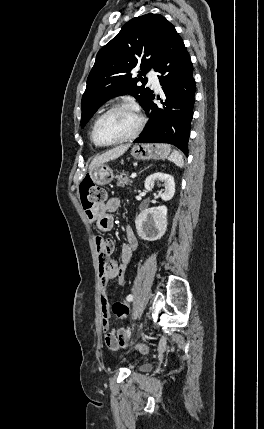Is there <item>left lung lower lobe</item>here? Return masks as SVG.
<instances>
[{"mask_svg": "<svg viewBox=\"0 0 264 429\" xmlns=\"http://www.w3.org/2000/svg\"><path fill=\"white\" fill-rule=\"evenodd\" d=\"M165 94L162 108L152 94L144 110L149 122L134 142L169 143L188 155L190 124L193 118L195 80L193 65L182 38L172 29L154 68Z\"/></svg>", "mask_w": 264, "mask_h": 429, "instance_id": "left-lung-lower-lobe-1", "label": "left lung lower lobe"}]
</instances>
